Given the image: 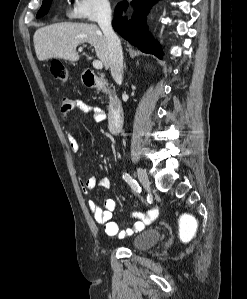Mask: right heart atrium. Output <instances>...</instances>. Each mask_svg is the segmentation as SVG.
Segmentation results:
<instances>
[{
	"mask_svg": "<svg viewBox=\"0 0 247 299\" xmlns=\"http://www.w3.org/2000/svg\"><path fill=\"white\" fill-rule=\"evenodd\" d=\"M109 0H72L69 16L73 19L96 21L109 16Z\"/></svg>",
	"mask_w": 247,
	"mask_h": 299,
	"instance_id": "obj_1",
	"label": "right heart atrium"
}]
</instances>
